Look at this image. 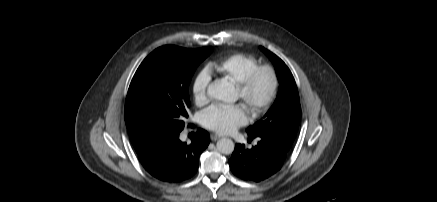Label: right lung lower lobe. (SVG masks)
Instances as JSON below:
<instances>
[{
  "mask_svg": "<svg viewBox=\"0 0 437 202\" xmlns=\"http://www.w3.org/2000/svg\"><path fill=\"white\" fill-rule=\"evenodd\" d=\"M181 131H173L137 152L143 167L161 181L177 183L191 178L197 172L200 154L210 143L203 129H198L190 144L179 139Z\"/></svg>",
  "mask_w": 437,
  "mask_h": 202,
  "instance_id": "obj_1",
  "label": "right lung lower lobe"
}]
</instances>
